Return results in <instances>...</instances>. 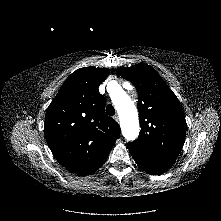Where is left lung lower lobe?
Returning <instances> with one entry per match:
<instances>
[{
	"label": "left lung lower lobe",
	"instance_id": "left-lung-lower-lobe-1",
	"mask_svg": "<svg viewBox=\"0 0 221 221\" xmlns=\"http://www.w3.org/2000/svg\"><path fill=\"white\" fill-rule=\"evenodd\" d=\"M128 148L137 165L149 174L159 175L167 171L176 161L150 153L134 143H129Z\"/></svg>",
	"mask_w": 221,
	"mask_h": 221
}]
</instances>
